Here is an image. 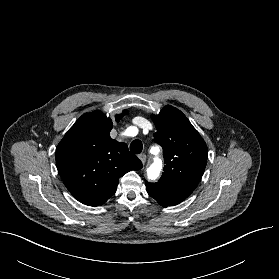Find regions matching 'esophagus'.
Returning <instances> with one entry per match:
<instances>
[{
    "label": "esophagus",
    "instance_id": "obj_1",
    "mask_svg": "<svg viewBox=\"0 0 279 279\" xmlns=\"http://www.w3.org/2000/svg\"><path fill=\"white\" fill-rule=\"evenodd\" d=\"M138 157H139V159L141 160V162H142L143 164L146 163V155H145V154H140Z\"/></svg>",
    "mask_w": 279,
    "mask_h": 279
}]
</instances>
